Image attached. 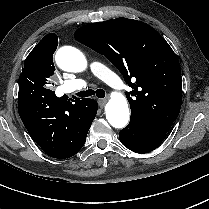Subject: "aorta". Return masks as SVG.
<instances>
[{
    "mask_svg": "<svg viewBox=\"0 0 209 209\" xmlns=\"http://www.w3.org/2000/svg\"><path fill=\"white\" fill-rule=\"evenodd\" d=\"M57 65L68 72H82L87 66L84 54L75 47L64 46L56 53ZM106 119L111 126L121 129L124 128L130 118L127 99L121 93H113L105 106Z\"/></svg>",
    "mask_w": 209,
    "mask_h": 209,
    "instance_id": "762f6f07",
    "label": "aorta"
}]
</instances>
